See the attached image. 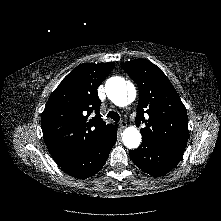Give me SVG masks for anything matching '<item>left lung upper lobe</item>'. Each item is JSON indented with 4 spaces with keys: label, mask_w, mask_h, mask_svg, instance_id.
I'll use <instances>...</instances> for the list:
<instances>
[{
    "label": "left lung upper lobe",
    "mask_w": 221,
    "mask_h": 221,
    "mask_svg": "<svg viewBox=\"0 0 221 221\" xmlns=\"http://www.w3.org/2000/svg\"><path fill=\"white\" fill-rule=\"evenodd\" d=\"M139 88L136 125L142 138L164 147L184 151L188 140L187 111L173 85L152 62L135 59L121 63ZM148 117H144V114Z\"/></svg>",
    "instance_id": "1"
}]
</instances>
